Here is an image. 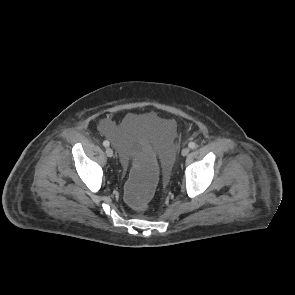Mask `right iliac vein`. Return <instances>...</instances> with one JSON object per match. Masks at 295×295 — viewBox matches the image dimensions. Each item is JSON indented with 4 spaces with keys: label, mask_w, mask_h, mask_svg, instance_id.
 Listing matches in <instances>:
<instances>
[{
    "label": "right iliac vein",
    "mask_w": 295,
    "mask_h": 295,
    "mask_svg": "<svg viewBox=\"0 0 295 295\" xmlns=\"http://www.w3.org/2000/svg\"><path fill=\"white\" fill-rule=\"evenodd\" d=\"M106 155L108 157H112L113 156V150L110 147L106 148Z\"/></svg>",
    "instance_id": "63e3f726"
}]
</instances>
